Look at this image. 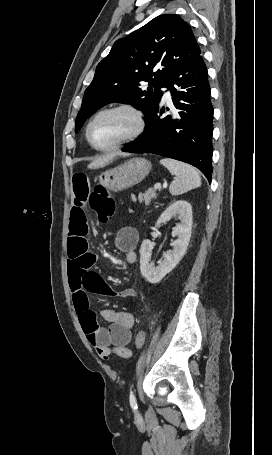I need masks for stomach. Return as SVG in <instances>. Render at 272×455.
<instances>
[{"mask_svg":"<svg viewBox=\"0 0 272 455\" xmlns=\"http://www.w3.org/2000/svg\"><path fill=\"white\" fill-rule=\"evenodd\" d=\"M151 162L145 158H133L122 165L106 170L99 175V183L110 191L130 188L142 180L151 171Z\"/></svg>","mask_w":272,"mask_h":455,"instance_id":"0dacf381","label":"stomach"}]
</instances>
